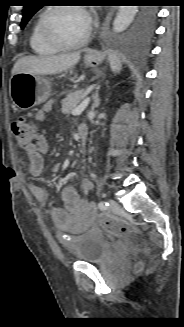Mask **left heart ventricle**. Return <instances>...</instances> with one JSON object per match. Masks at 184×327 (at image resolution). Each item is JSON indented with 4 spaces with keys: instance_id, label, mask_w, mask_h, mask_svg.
Segmentation results:
<instances>
[{
    "instance_id": "b2bd125f",
    "label": "left heart ventricle",
    "mask_w": 184,
    "mask_h": 327,
    "mask_svg": "<svg viewBox=\"0 0 184 327\" xmlns=\"http://www.w3.org/2000/svg\"><path fill=\"white\" fill-rule=\"evenodd\" d=\"M89 21L84 12L65 9L54 13L52 27L55 33L67 42L80 40L88 30Z\"/></svg>"
}]
</instances>
